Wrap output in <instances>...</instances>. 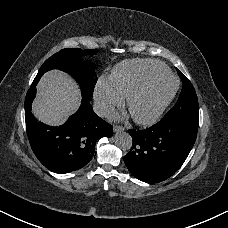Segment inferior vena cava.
<instances>
[{
    "mask_svg": "<svg viewBox=\"0 0 228 228\" xmlns=\"http://www.w3.org/2000/svg\"><path fill=\"white\" fill-rule=\"evenodd\" d=\"M114 109V106L105 99L96 98L94 100L93 110L100 117H107Z\"/></svg>",
    "mask_w": 228,
    "mask_h": 228,
    "instance_id": "obj_1",
    "label": "inferior vena cava"
}]
</instances>
